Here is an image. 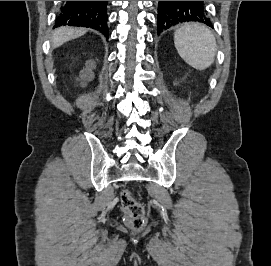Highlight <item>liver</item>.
I'll list each match as a JSON object with an SVG mask.
<instances>
[{"mask_svg":"<svg viewBox=\"0 0 271 266\" xmlns=\"http://www.w3.org/2000/svg\"><path fill=\"white\" fill-rule=\"evenodd\" d=\"M86 32L87 30L84 28H74L68 26L57 28L52 34V47H59L69 40L82 36Z\"/></svg>","mask_w":271,"mask_h":266,"instance_id":"obj_1","label":"liver"}]
</instances>
